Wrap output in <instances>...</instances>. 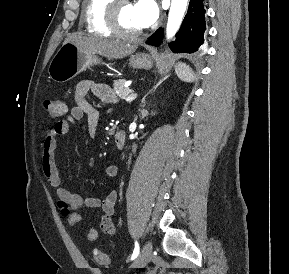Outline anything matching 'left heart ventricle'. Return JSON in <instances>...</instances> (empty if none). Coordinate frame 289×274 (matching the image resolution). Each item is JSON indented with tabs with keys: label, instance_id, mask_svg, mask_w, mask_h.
<instances>
[{
	"label": "left heart ventricle",
	"instance_id": "obj_1",
	"mask_svg": "<svg viewBox=\"0 0 289 274\" xmlns=\"http://www.w3.org/2000/svg\"><path fill=\"white\" fill-rule=\"evenodd\" d=\"M119 18L121 26L127 31L133 32L142 29V27L137 22L134 13V8L131 3L122 5L120 9Z\"/></svg>",
	"mask_w": 289,
	"mask_h": 274
}]
</instances>
